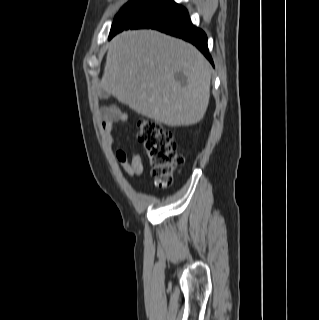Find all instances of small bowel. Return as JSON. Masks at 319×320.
I'll return each instance as SVG.
<instances>
[{
  "instance_id": "small-bowel-1",
  "label": "small bowel",
  "mask_w": 319,
  "mask_h": 320,
  "mask_svg": "<svg viewBox=\"0 0 319 320\" xmlns=\"http://www.w3.org/2000/svg\"><path fill=\"white\" fill-rule=\"evenodd\" d=\"M127 120V115L123 112L112 110L105 111L101 117V133L105 144L112 148L115 141L113 136L114 124L117 122H124ZM116 157L121 163L124 172L129 177H139L143 173V163L141 155L138 151L127 152L124 149H120L116 152Z\"/></svg>"
}]
</instances>
